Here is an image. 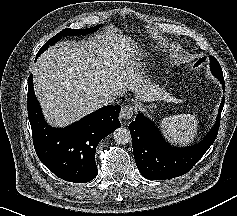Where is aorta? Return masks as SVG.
<instances>
[{
  "label": "aorta",
  "mask_w": 237,
  "mask_h": 216,
  "mask_svg": "<svg viewBox=\"0 0 237 216\" xmlns=\"http://www.w3.org/2000/svg\"><path fill=\"white\" fill-rule=\"evenodd\" d=\"M113 138L119 145H126L131 143V132L127 127H120L113 132Z\"/></svg>",
  "instance_id": "aorta-1"
}]
</instances>
